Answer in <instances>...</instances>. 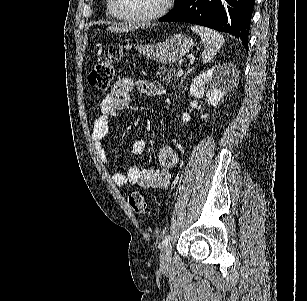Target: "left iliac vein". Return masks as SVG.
<instances>
[{"label":"left iliac vein","mask_w":307,"mask_h":301,"mask_svg":"<svg viewBox=\"0 0 307 301\" xmlns=\"http://www.w3.org/2000/svg\"><path fill=\"white\" fill-rule=\"evenodd\" d=\"M172 249L171 244L164 245L160 253V265L162 268L167 269L171 265Z\"/></svg>","instance_id":"4c4485c4"}]
</instances>
